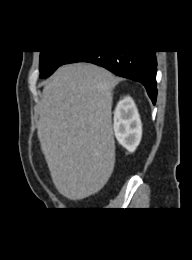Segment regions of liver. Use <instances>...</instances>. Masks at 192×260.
I'll return each instance as SVG.
<instances>
[{"label": "liver", "instance_id": "6515ba94", "mask_svg": "<svg viewBox=\"0 0 192 260\" xmlns=\"http://www.w3.org/2000/svg\"><path fill=\"white\" fill-rule=\"evenodd\" d=\"M110 71L90 63L60 67L43 88L38 138L60 194L80 200L108 181L115 163Z\"/></svg>", "mask_w": 192, "mask_h": 260}]
</instances>
